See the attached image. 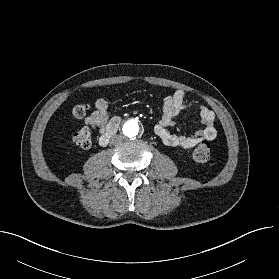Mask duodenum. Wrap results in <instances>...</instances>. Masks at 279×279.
Masks as SVG:
<instances>
[{
  "label": "duodenum",
  "mask_w": 279,
  "mask_h": 279,
  "mask_svg": "<svg viewBox=\"0 0 279 279\" xmlns=\"http://www.w3.org/2000/svg\"><path fill=\"white\" fill-rule=\"evenodd\" d=\"M120 119L118 117H115L107 126L105 132L101 135L99 139V143L102 146H106L110 139L116 134L119 125H120Z\"/></svg>",
  "instance_id": "410a0bca"
}]
</instances>
